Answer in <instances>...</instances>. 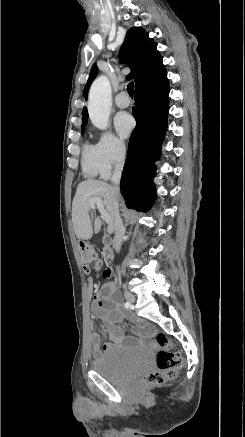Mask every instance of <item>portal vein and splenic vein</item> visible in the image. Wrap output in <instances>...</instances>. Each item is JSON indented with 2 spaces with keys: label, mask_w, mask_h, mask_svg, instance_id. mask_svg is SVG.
Returning <instances> with one entry per match:
<instances>
[{
  "label": "portal vein and splenic vein",
  "mask_w": 245,
  "mask_h": 437,
  "mask_svg": "<svg viewBox=\"0 0 245 437\" xmlns=\"http://www.w3.org/2000/svg\"><path fill=\"white\" fill-rule=\"evenodd\" d=\"M90 207L91 208L97 207L103 220L107 223L110 221L109 214L106 212L101 198H99V197L92 198L90 200Z\"/></svg>",
  "instance_id": "obj_1"
}]
</instances>
